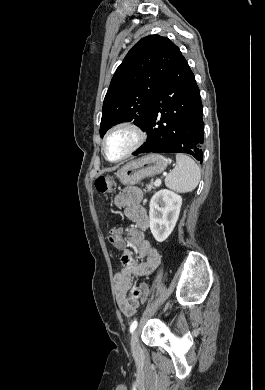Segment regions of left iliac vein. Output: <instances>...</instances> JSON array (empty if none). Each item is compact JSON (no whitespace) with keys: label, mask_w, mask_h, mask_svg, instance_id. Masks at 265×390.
<instances>
[{"label":"left iliac vein","mask_w":265,"mask_h":390,"mask_svg":"<svg viewBox=\"0 0 265 390\" xmlns=\"http://www.w3.org/2000/svg\"><path fill=\"white\" fill-rule=\"evenodd\" d=\"M131 349L134 356L140 355L141 348L138 340V331H135L131 336Z\"/></svg>","instance_id":"4c4485c4"}]
</instances>
